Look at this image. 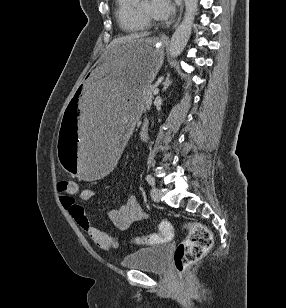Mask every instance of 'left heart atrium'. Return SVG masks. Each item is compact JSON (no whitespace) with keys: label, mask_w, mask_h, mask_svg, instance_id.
<instances>
[{"label":"left heart atrium","mask_w":286,"mask_h":308,"mask_svg":"<svg viewBox=\"0 0 286 308\" xmlns=\"http://www.w3.org/2000/svg\"><path fill=\"white\" fill-rule=\"evenodd\" d=\"M151 6L153 14L158 19H167L174 11V4L172 0H152Z\"/></svg>","instance_id":"39dd6f15"}]
</instances>
